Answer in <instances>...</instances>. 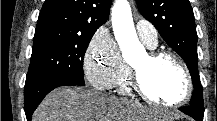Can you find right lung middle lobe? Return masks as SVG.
<instances>
[{
    "label": "right lung middle lobe",
    "instance_id": "dd1d6c3e",
    "mask_svg": "<svg viewBox=\"0 0 217 121\" xmlns=\"http://www.w3.org/2000/svg\"><path fill=\"white\" fill-rule=\"evenodd\" d=\"M93 35L57 26L36 28L25 85L49 75L69 76L84 85L83 59Z\"/></svg>",
    "mask_w": 217,
    "mask_h": 121
}]
</instances>
